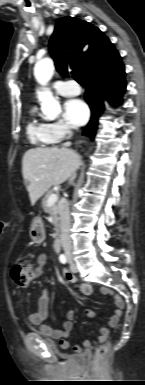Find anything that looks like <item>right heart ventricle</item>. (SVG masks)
<instances>
[{"instance_id":"right-heart-ventricle-1","label":"right heart ventricle","mask_w":145,"mask_h":385,"mask_svg":"<svg viewBox=\"0 0 145 385\" xmlns=\"http://www.w3.org/2000/svg\"><path fill=\"white\" fill-rule=\"evenodd\" d=\"M26 132L33 144L44 146L53 143L48 124L39 121L35 117V109H32L30 112V119L26 126Z\"/></svg>"}]
</instances>
